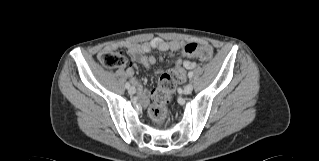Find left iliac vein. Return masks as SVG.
Masks as SVG:
<instances>
[{"instance_id":"obj_1","label":"left iliac vein","mask_w":319,"mask_h":161,"mask_svg":"<svg viewBox=\"0 0 319 161\" xmlns=\"http://www.w3.org/2000/svg\"><path fill=\"white\" fill-rule=\"evenodd\" d=\"M192 90H193V85H192V83H188V84L184 87L183 93H184L185 95H189V94L192 92Z\"/></svg>"}]
</instances>
